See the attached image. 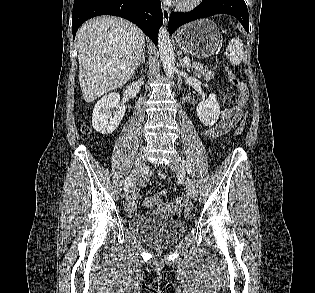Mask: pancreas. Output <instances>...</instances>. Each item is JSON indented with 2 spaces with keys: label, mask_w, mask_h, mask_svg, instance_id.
<instances>
[{
  "label": "pancreas",
  "mask_w": 315,
  "mask_h": 293,
  "mask_svg": "<svg viewBox=\"0 0 315 293\" xmlns=\"http://www.w3.org/2000/svg\"><path fill=\"white\" fill-rule=\"evenodd\" d=\"M188 67L194 71V75L201 77L203 75L206 80L214 78V71L210 70L208 67H204L202 64L193 62L189 63ZM216 69V68H214Z\"/></svg>",
  "instance_id": "1"
}]
</instances>
